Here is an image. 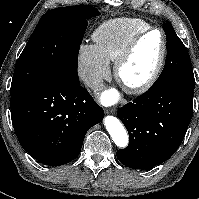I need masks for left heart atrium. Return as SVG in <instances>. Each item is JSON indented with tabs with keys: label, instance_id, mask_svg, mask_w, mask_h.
<instances>
[{
	"label": "left heart atrium",
	"instance_id": "39dd6f15",
	"mask_svg": "<svg viewBox=\"0 0 199 199\" xmlns=\"http://www.w3.org/2000/svg\"><path fill=\"white\" fill-rule=\"evenodd\" d=\"M118 97L119 94L116 90H108L101 95V100L104 104L109 105L117 102Z\"/></svg>",
	"mask_w": 199,
	"mask_h": 199
}]
</instances>
